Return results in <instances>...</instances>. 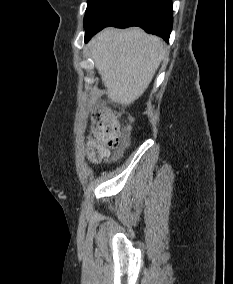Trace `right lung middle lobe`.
Returning <instances> with one entry per match:
<instances>
[{
    "label": "right lung middle lobe",
    "mask_w": 233,
    "mask_h": 284,
    "mask_svg": "<svg viewBox=\"0 0 233 284\" xmlns=\"http://www.w3.org/2000/svg\"><path fill=\"white\" fill-rule=\"evenodd\" d=\"M110 1L111 0H88V6L84 17V28L92 23Z\"/></svg>",
    "instance_id": "dd1d6c3e"
}]
</instances>
